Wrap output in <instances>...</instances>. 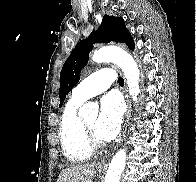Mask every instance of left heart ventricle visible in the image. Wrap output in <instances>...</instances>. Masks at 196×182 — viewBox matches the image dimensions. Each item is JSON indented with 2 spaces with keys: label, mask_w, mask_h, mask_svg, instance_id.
<instances>
[{
  "label": "left heart ventricle",
  "mask_w": 196,
  "mask_h": 182,
  "mask_svg": "<svg viewBox=\"0 0 196 182\" xmlns=\"http://www.w3.org/2000/svg\"><path fill=\"white\" fill-rule=\"evenodd\" d=\"M97 120H98L97 116H93L85 120L87 127L94 135H95V127H96Z\"/></svg>",
  "instance_id": "b2bd125f"
}]
</instances>
